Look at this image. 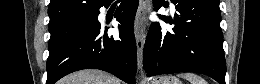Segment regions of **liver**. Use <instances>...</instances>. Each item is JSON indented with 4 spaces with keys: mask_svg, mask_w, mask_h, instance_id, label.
Returning <instances> with one entry per match:
<instances>
[{
    "mask_svg": "<svg viewBox=\"0 0 260 84\" xmlns=\"http://www.w3.org/2000/svg\"><path fill=\"white\" fill-rule=\"evenodd\" d=\"M59 84H120V80L103 71L81 70L64 77Z\"/></svg>",
    "mask_w": 260,
    "mask_h": 84,
    "instance_id": "liver-1",
    "label": "liver"
}]
</instances>
